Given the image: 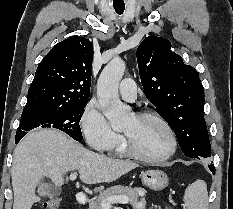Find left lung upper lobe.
Wrapping results in <instances>:
<instances>
[{"instance_id":"obj_1","label":"left lung upper lobe","mask_w":233,"mask_h":209,"mask_svg":"<svg viewBox=\"0 0 233 209\" xmlns=\"http://www.w3.org/2000/svg\"><path fill=\"white\" fill-rule=\"evenodd\" d=\"M170 48L167 39L157 36L146 37L138 46L145 95L175 132L183 153L208 158L211 145L203 115V86L198 72Z\"/></svg>"}]
</instances>
